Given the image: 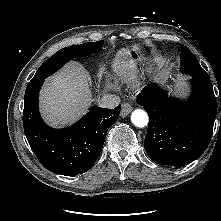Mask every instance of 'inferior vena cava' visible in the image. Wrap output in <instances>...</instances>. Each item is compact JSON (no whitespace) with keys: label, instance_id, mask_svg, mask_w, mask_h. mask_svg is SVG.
I'll use <instances>...</instances> for the list:
<instances>
[{"label":"inferior vena cava","instance_id":"602c4592","mask_svg":"<svg viewBox=\"0 0 221 221\" xmlns=\"http://www.w3.org/2000/svg\"><path fill=\"white\" fill-rule=\"evenodd\" d=\"M98 103L104 108H115L120 103V97L112 94H105Z\"/></svg>","mask_w":221,"mask_h":221}]
</instances>
